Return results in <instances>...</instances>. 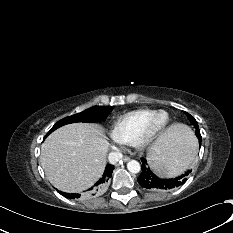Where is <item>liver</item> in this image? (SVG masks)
Listing matches in <instances>:
<instances>
[{"label":"liver","instance_id":"obj_1","mask_svg":"<svg viewBox=\"0 0 233 233\" xmlns=\"http://www.w3.org/2000/svg\"><path fill=\"white\" fill-rule=\"evenodd\" d=\"M182 125L163 132L151 146L150 161L164 159L169 164L178 149ZM109 143L102 127L75 123L48 136L42 145L40 161L47 179L59 190L77 193L90 188L103 174ZM177 172L183 169L176 164Z\"/></svg>","mask_w":233,"mask_h":233}]
</instances>
